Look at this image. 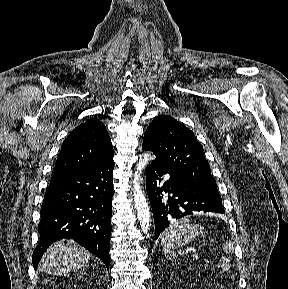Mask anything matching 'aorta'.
<instances>
[{
    "label": "aorta",
    "instance_id": "obj_1",
    "mask_svg": "<svg viewBox=\"0 0 288 289\" xmlns=\"http://www.w3.org/2000/svg\"><path fill=\"white\" fill-rule=\"evenodd\" d=\"M149 160V155H144L143 158L140 159L139 163L136 165V170L134 174V180H133V197H134V204L137 211V217L140 222V225L144 232L147 231V228L150 225V207L147 202V199L144 195V193L141 190L140 187V174L142 172V169L145 167Z\"/></svg>",
    "mask_w": 288,
    "mask_h": 289
}]
</instances>
